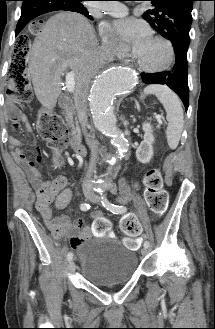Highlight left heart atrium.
Returning a JSON list of instances; mask_svg holds the SVG:
<instances>
[{
  "mask_svg": "<svg viewBox=\"0 0 215 329\" xmlns=\"http://www.w3.org/2000/svg\"><path fill=\"white\" fill-rule=\"evenodd\" d=\"M120 39L132 47L133 52L140 51L150 40L151 33L148 25L135 18H123L114 24Z\"/></svg>",
  "mask_w": 215,
  "mask_h": 329,
  "instance_id": "39dd6f15",
  "label": "left heart atrium"
}]
</instances>
